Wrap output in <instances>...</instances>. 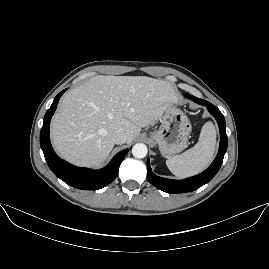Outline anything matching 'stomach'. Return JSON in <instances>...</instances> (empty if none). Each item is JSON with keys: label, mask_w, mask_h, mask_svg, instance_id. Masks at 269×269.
Listing matches in <instances>:
<instances>
[{"label": "stomach", "mask_w": 269, "mask_h": 269, "mask_svg": "<svg viewBox=\"0 0 269 269\" xmlns=\"http://www.w3.org/2000/svg\"><path fill=\"white\" fill-rule=\"evenodd\" d=\"M161 127L151 133V138L158 144L162 156L181 152L188 142L192 125L188 117L175 106H168L161 114Z\"/></svg>", "instance_id": "1"}]
</instances>
